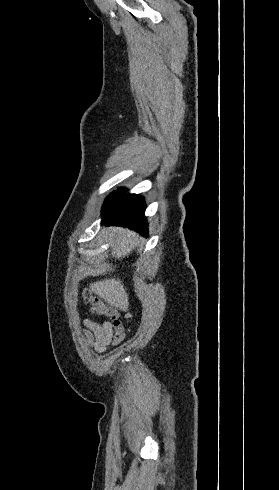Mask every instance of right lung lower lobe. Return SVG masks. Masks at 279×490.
Here are the masks:
<instances>
[{
    "label": "right lung lower lobe",
    "mask_w": 279,
    "mask_h": 490,
    "mask_svg": "<svg viewBox=\"0 0 279 490\" xmlns=\"http://www.w3.org/2000/svg\"><path fill=\"white\" fill-rule=\"evenodd\" d=\"M145 208L143 197L122 193L113 200L108 211L103 214L102 224L132 228L147 236L148 223L144 216Z\"/></svg>",
    "instance_id": "right-lung-lower-lobe-1"
}]
</instances>
